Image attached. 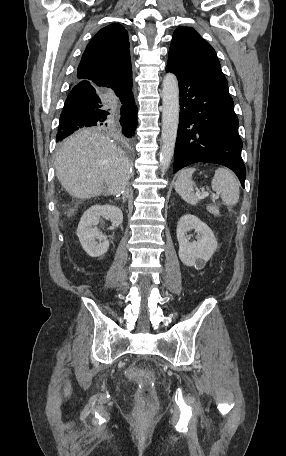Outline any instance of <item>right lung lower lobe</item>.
Segmentation results:
<instances>
[{"label":"right lung lower lobe","mask_w":286,"mask_h":456,"mask_svg":"<svg viewBox=\"0 0 286 456\" xmlns=\"http://www.w3.org/2000/svg\"><path fill=\"white\" fill-rule=\"evenodd\" d=\"M132 88V76L106 83L76 76L60 115L56 140L96 126L113 130L125 143H131L137 126Z\"/></svg>","instance_id":"1"}]
</instances>
